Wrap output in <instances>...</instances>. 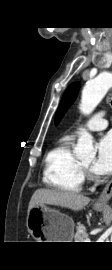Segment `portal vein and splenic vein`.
Here are the masks:
<instances>
[{
    "mask_svg": "<svg viewBox=\"0 0 112 270\" xmlns=\"http://www.w3.org/2000/svg\"><path fill=\"white\" fill-rule=\"evenodd\" d=\"M85 242H91V241H90V239H89V238H87V239L85 240Z\"/></svg>",
    "mask_w": 112,
    "mask_h": 270,
    "instance_id": "portal-vein-and-splenic-vein-1",
    "label": "portal vein and splenic vein"
}]
</instances>
